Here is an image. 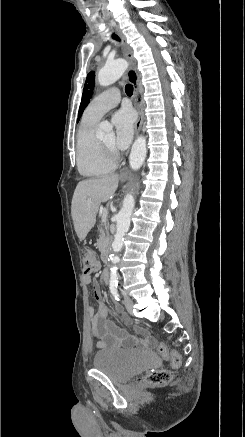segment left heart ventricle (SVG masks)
I'll return each mask as SVG.
<instances>
[{
  "label": "left heart ventricle",
  "mask_w": 245,
  "mask_h": 437,
  "mask_svg": "<svg viewBox=\"0 0 245 437\" xmlns=\"http://www.w3.org/2000/svg\"><path fill=\"white\" fill-rule=\"evenodd\" d=\"M106 146L113 148L114 147V136L108 135L101 140Z\"/></svg>",
  "instance_id": "b2bd125f"
}]
</instances>
